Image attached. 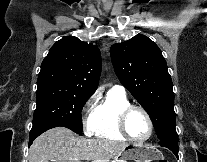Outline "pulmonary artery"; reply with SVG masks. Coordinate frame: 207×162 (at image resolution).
<instances>
[{
  "mask_svg": "<svg viewBox=\"0 0 207 162\" xmlns=\"http://www.w3.org/2000/svg\"><path fill=\"white\" fill-rule=\"evenodd\" d=\"M111 90L120 94H125V88L120 84L112 86Z\"/></svg>",
  "mask_w": 207,
  "mask_h": 162,
  "instance_id": "e3ab8cb5",
  "label": "pulmonary artery"
}]
</instances>
